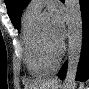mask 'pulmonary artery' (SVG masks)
<instances>
[{
	"mask_svg": "<svg viewBox=\"0 0 89 89\" xmlns=\"http://www.w3.org/2000/svg\"><path fill=\"white\" fill-rule=\"evenodd\" d=\"M51 2L50 0H34L29 4L26 11L38 15L44 6Z\"/></svg>",
	"mask_w": 89,
	"mask_h": 89,
	"instance_id": "pulmonary-artery-1",
	"label": "pulmonary artery"
}]
</instances>
